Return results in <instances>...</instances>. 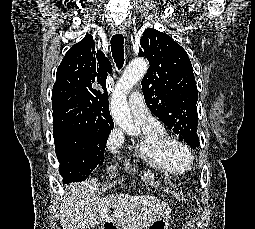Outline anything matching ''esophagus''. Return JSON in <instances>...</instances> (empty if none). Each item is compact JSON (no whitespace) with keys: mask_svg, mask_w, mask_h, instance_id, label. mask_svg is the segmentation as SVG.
I'll list each match as a JSON object with an SVG mask.
<instances>
[{"mask_svg":"<svg viewBox=\"0 0 255 229\" xmlns=\"http://www.w3.org/2000/svg\"><path fill=\"white\" fill-rule=\"evenodd\" d=\"M116 33L125 34L124 26H122V25L117 26L116 27Z\"/></svg>","mask_w":255,"mask_h":229,"instance_id":"obj_1","label":"esophagus"}]
</instances>
